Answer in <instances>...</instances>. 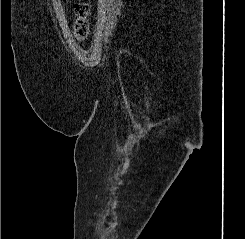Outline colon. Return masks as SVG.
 <instances>
[{
  "instance_id": "5ec220e1",
  "label": "colon",
  "mask_w": 245,
  "mask_h": 239,
  "mask_svg": "<svg viewBox=\"0 0 245 239\" xmlns=\"http://www.w3.org/2000/svg\"><path fill=\"white\" fill-rule=\"evenodd\" d=\"M76 21L73 27L74 35L79 40H84L89 33L88 16L90 14V6L86 2L79 1L74 5Z\"/></svg>"
}]
</instances>
